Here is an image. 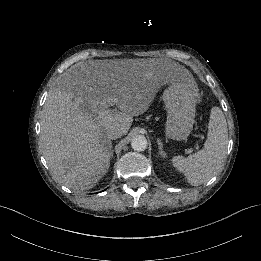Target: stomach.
Listing matches in <instances>:
<instances>
[{
	"label": "stomach",
	"instance_id": "1",
	"mask_svg": "<svg viewBox=\"0 0 261 261\" xmlns=\"http://www.w3.org/2000/svg\"><path fill=\"white\" fill-rule=\"evenodd\" d=\"M167 117L163 129L166 143L184 141L193 132L199 93L190 84H172L164 93Z\"/></svg>",
	"mask_w": 261,
	"mask_h": 261
}]
</instances>
